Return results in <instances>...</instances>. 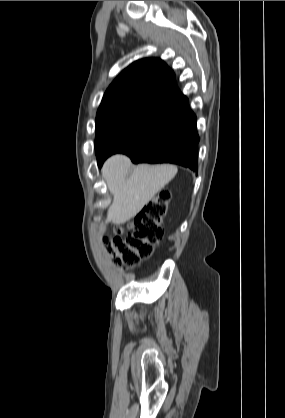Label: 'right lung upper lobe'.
Masks as SVG:
<instances>
[{"label": "right lung upper lobe", "instance_id": "obj_1", "mask_svg": "<svg viewBox=\"0 0 285 418\" xmlns=\"http://www.w3.org/2000/svg\"><path fill=\"white\" fill-rule=\"evenodd\" d=\"M122 102L176 110L188 99L177 88L174 72L161 59L148 58L134 62L120 73L106 90L99 109Z\"/></svg>", "mask_w": 285, "mask_h": 418}]
</instances>
